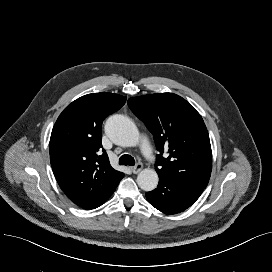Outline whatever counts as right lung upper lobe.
<instances>
[{"instance_id": "obj_1", "label": "right lung upper lobe", "mask_w": 272, "mask_h": 272, "mask_svg": "<svg viewBox=\"0 0 272 272\" xmlns=\"http://www.w3.org/2000/svg\"><path fill=\"white\" fill-rule=\"evenodd\" d=\"M125 102L126 97L112 93L82 96L63 110L53 127L49 147L54 175L68 198L84 209L98 206L124 177L101 149V126Z\"/></svg>"}]
</instances>
